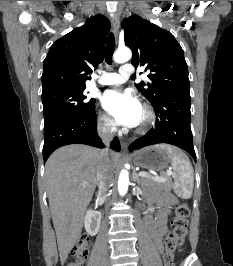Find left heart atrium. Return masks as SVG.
I'll return each instance as SVG.
<instances>
[{"mask_svg":"<svg viewBox=\"0 0 233 266\" xmlns=\"http://www.w3.org/2000/svg\"><path fill=\"white\" fill-rule=\"evenodd\" d=\"M106 111L121 125H138L142 106L130 91L109 90L103 96Z\"/></svg>","mask_w":233,"mask_h":266,"instance_id":"39dd6f15","label":"left heart atrium"}]
</instances>
